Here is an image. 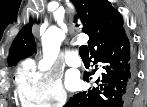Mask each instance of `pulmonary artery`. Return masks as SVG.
<instances>
[{"mask_svg":"<svg viewBox=\"0 0 147 107\" xmlns=\"http://www.w3.org/2000/svg\"><path fill=\"white\" fill-rule=\"evenodd\" d=\"M66 63L71 67H80L81 59L78 57L75 51H70L66 55Z\"/></svg>","mask_w":147,"mask_h":107,"instance_id":"e3ab8cb5","label":"pulmonary artery"}]
</instances>
